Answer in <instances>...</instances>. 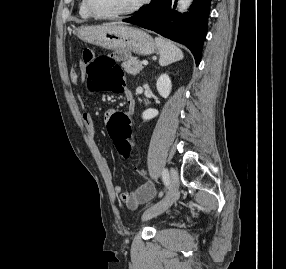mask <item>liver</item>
I'll use <instances>...</instances> for the list:
<instances>
[{
	"label": "liver",
	"instance_id": "6515ba94",
	"mask_svg": "<svg viewBox=\"0 0 286 269\" xmlns=\"http://www.w3.org/2000/svg\"><path fill=\"white\" fill-rule=\"evenodd\" d=\"M117 24H120V23H116V22L109 23V25H117Z\"/></svg>",
	"mask_w": 286,
	"mask_h": 269
}]
</instances>
